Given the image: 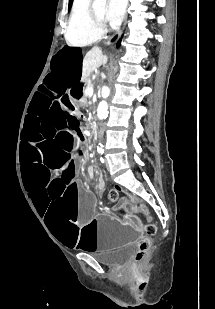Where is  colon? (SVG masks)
I'll use <instances>...</instances> for the list:
<instances>
[{"mask_svg":"<svg viewBox=\"0 0 215 309\" xmlns=\"http://www.w3.org/2000/svg\"><path fill=\"white\" fill-rule=\"evenodd\" d=\"M108 197L111 202H115L118 197V191L115 189L111 190L108 194ZM145 229H146L148 236L154 235L157 231V227L153 223H147L145 225ZM149 249H150V238L149 237H145L139 240L136 246V253H135L137 260L138 261L144 260L147 257Z\"/></svg>","mask_w":215,"mask_h":309,"instance_id":"1","label":"colon"}]
</instances>
